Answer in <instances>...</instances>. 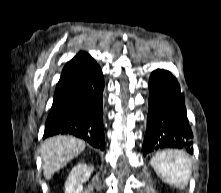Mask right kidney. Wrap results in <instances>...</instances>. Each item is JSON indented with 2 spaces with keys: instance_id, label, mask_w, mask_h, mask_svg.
Wrapping results in <instances>:
<instances>
[{
  "instance_id": "obj_1",
  "label": "right kidney",
  "mask_w": 221,
  "mask_h": 193,
  "mask_svg": "<svg viewBox=\"0 0 221 193\" xmlns=\"http://www.w3.org/2000/svg\"><path fill=\"white\" fill-rule=\"evenodd\" d=\"M92 171L93 167H87L85 164L73 167L65 183V193H81L82 184L89 179Z\"/></svg>"
}]
</instances>
